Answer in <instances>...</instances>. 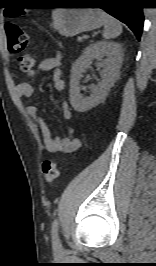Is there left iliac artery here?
Segmentation results:
<instances>
[{"label": "left iliac artery", "mask_w": 156, "mask_h": 266, "mask_svg": "<svg viewBox=\"0 0 156 266\" xmlns=\"http://www.w3.org/2000/svg\"><path fill=\"white\" fill-rule=\"evenodd\" d=\"M58 230H59V223L58 220L55 219L52 223L51 235L52 240L55 244H59V237H58Z\"/></svg>", "instance_id": "left-iliac-artery-1"}]
</instances>
